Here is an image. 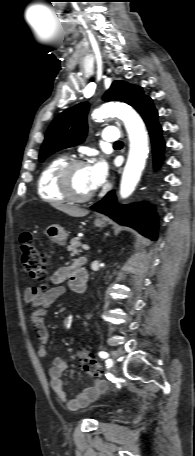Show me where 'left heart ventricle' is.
<instances>
[{"label":"left heart ventricle","instance_id":"obj_1","mask_svg":"<svg viewBox=\"0 0 195 456\" xmlns=\"http://www.w3.org/2000/svg\"><path fill=\"white\" fill-rule=\"evenodd\" d=\"M71 183L73 190L80 195H86L93 190L90 186L89 168L78 167L72 172Z\"/></svg>","mask_w":195,"mask_h":456}]
</instances>
